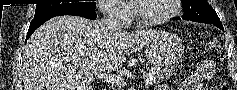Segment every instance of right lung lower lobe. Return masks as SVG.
Returning a JSON list of instances; mask_svg holds the SVG:
<instances>
[{
    "instance_id": "obj_1",
    "label": "right lung lower lobe",
    "mask_w": 237,
    "mask_h": 90,
    "mask_svg": "<svg viewBox=\"0 0 237 90\" xmlns=\"http://www.w3.org/2000/svg\"><path fill=\"white\" fill-rule=\"evenodd\" d=\"M61 15H76V16H81L84 18H89L92 20L96 19V13L94 10L83 9V8L65 9V10L57 11L48 15L37 17V18H34L30 23L29 30L27 32L26 41L32 35V33L44 22H46L52 17L61 16Z\"/></svg>"
}]
</instances>
